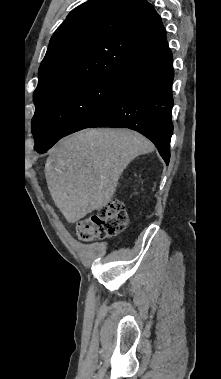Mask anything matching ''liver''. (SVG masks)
Instances as JSON below:
<instances>
[{
	"mask_svg": "<svg viewBox=\"0 0 221 379\" xmlns=\"http://www.w3.org/2000/svg\"><path fill=\"white\" fill-rule=\"evenodd\" d=\"M153 150L147 138L128 129H88L62 139L45 164L55 205L69 223L105 207L126 166Z\"/></svg>",
	"mask_w": 221,
	"mask_h": 379,
	"instance_id": "liver-1",
	"label": "liver"
}]
</instances>
